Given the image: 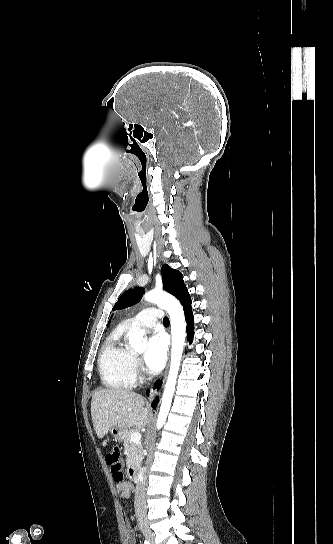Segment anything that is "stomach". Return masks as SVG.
I'll list each match as a JSON object with an SVG mask.
<instances>
[{
  "mask_svg": "<svg viewBox=\"0 0 333 544\" xmlns=\"http://www.w3.org/2000/svg\"><path fill=\"white\" fill-rule=\"evenodd\" d=\"M126 429H123V428H119V427H111L110 428V433L111 435L114 437L115 440L117 441H120L123 439L125 433H126Z\"/></svg>",
  "mask_w": 333,
  "mask_h": 544,
  "instance_id": "1",
  "label": "stomach"
}]
</instances>
